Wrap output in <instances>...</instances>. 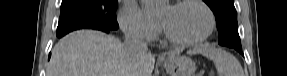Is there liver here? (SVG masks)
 Returning <instances> with one entry per match:
<instances>
[{
  "label": "liver",
  "mask_w": 287,
  "mask_h": 76,
  "mask_svg": "<svg viewBox=\"0 0 287 76\" xmlns=\"http://www.w3.org/2000/svg\"><path fill=\"white\" fill-rule=\"evenodd\" d=\"M171 52L169 56H176ZM155 58L125 54L124 43L95 30L69 33L55 45L47 76H151Z\"/></svg>",
  "instance_id": "6515ba94"
}]
</instances>
